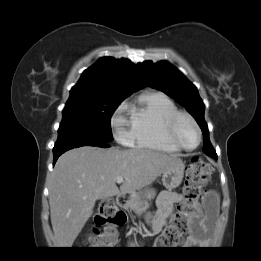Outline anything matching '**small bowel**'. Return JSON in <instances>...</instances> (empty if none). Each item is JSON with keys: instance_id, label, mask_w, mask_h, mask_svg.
Listing matches in <instances>:
<instances>
[{"instance_id": "small-bowel-1", "label": "small bowel", "mask_w": 261, "mask_h": 261, "mask_svg": "<svg viewBox=\"0 0 261 261\" xmlns=\"http://www.w3.org/2000/svg\"><path fill=\"white\" fill-rule=\"evenodd\" d=\"M183 199V195L177 192L163 191L158 197L157 209L151 216L150 226L154 233L159 232L171 218L175 206ZM204 215L196 216L192 221L193 233L185 240L184 245L188 248L203 243L207 233L214 226L218 205L217 197L213 192H207L203 202Z\"/></svg>"}]
</instances>
